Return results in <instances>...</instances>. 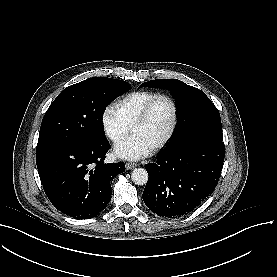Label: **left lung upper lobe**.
<instances>
[{"instance_id": "1", "label": "left lung upper lobe", "mask_w": 277, "mask_h": 277, "mask_svg": "<svg viewBox=\"0 0 277 277\" xmlns=\"http://www.w3.org/2000/svg\"><path fill=\"white\" fill-rule=\"evenodd\" d=\"M156 87L167 89L176 100L177 125L174 133L162 151H168L183 143L193 134L206 130L214 133H222L221 118L218 109L206 96V94L177 79H157L142 83L141 87ZM161 151V152H162ZM224 152L210 149L201 153L202 159L216 164H223ZM179 169L187 176L207 175L206 172H197V161L185 159L179 162ZM219 176H210L205 181H218Z\"/></svg>"}]
</instances>
